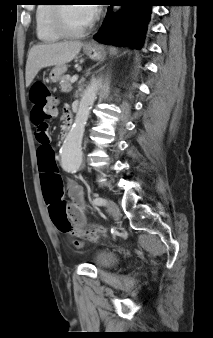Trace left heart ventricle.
<instances>
[{"label": "left heart ventricle", "instance_id": "1", "mask_svg": "<svg viewBox=\"0 0 213 338\" xmlns=\"http://www.w3.org/2000/svg\"><path fill=\"white\" fill-rule=\"evenodd\" d=\"M63 18L66 27L72 31L85 29L90 25L82 9L76 5H69L63 10Z\"/></svg>", "mask_w": 213, "mask_h": 338}]
</instances>
